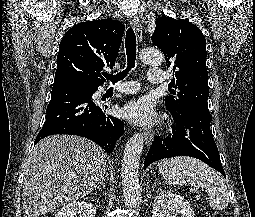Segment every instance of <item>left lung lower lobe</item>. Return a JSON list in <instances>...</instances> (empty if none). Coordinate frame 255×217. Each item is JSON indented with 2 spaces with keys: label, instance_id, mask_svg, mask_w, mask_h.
Wrapping results in <instances>:
<instances>
[{
  "label": "left lung lower lobe",
  "instance_id": "1",
  "mask_svg": "<svg viewBox=\"0 0 255 217\" xmlns=\"http://www.w3.org/2000/svg\"><path fill=\"white\" fill-rule=\"evenodd\" d=\"M172 116L176 126L167 137L158 136L154 140L144 167L164 158L190 156L205 162L226 177L210 130V112L193 107L181 115Z\"/></svg>",
  "mask_w": 255,
  "mask_h": 217
}]
</instances>
